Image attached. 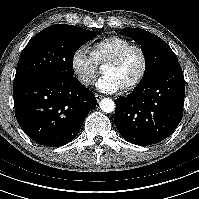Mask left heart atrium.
Segmentation results:
<instances>
[{"label": "left heart atrium", "mask_w": 199, "mask_h": 199, "mask_svg": "<svg viewBox=\"0 0 199 199\" xmlns=\"http://www.w3.org/2000/svg\"><path fill=\"white\" fill-rule=\"evenodd\" d=\"M96 86L99 91L104 93H115L121 88V86L109 76H103L97 82Z\"/></svg>", "instance_id": "39dd6f15"}]
</instances>
